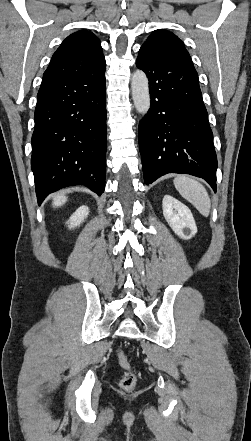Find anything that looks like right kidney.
Listing matches in <instances>:
<instances>
[{
    "instance_id": "right-kidney-1",
    "label": "right kidney",
    "mask_w": 251,
    "mask_h": 441,
    "mask_svg": "<svg viewBox=\"0 0 251 441\" xmlns=\"http://www.w3.org/2000/svg\"><path fill=\"white\" fill-rule=\"evenodd\" d=\"M89 214V208L85 205L79 207L67 221L70 229L79 226Z\"/></svg>"
}]
</instances>
